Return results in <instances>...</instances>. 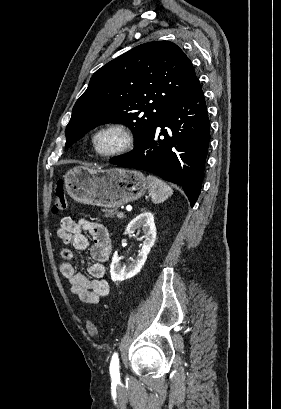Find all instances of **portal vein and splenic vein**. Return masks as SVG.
<instances>
[{
  "mask_svg": "<svg viewBox=\"0 0 281 409\" xmlns=\"http://www.w3.org/2000/svg\"><path fill=\"white\" fill-rule=\"evenodd\" d=\"M118 219H119V220H126V219H127V216L125 215L124 212H120V213H119V216H118Z\"/></svg>",
  "mask_w": 281,
  "mask_h": 409,
  "instance_id": "obj_1",
  "label": "portal vein and splenic vein"
}]
</instances>
